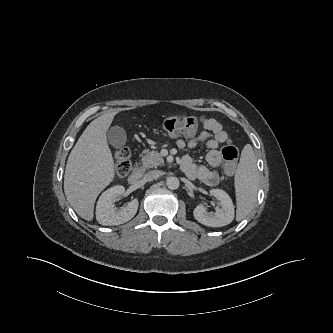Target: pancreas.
Returning a JSON list of instances; mask_svg holds the SVG:
<instances>
[{
    "instance_id": "obj_1",
    "label": "pancreas",
    "mask_w": 333,
    "mask_h": 333,
    "mask_svg": "<svg viewBox=\"0 0 333 333\" xmlns=\"http://www.w3.org/2000/svg\"><path fill=\"white\" fill-rule=\"evenodd\" d=\"M142 156V166L143 168H157L158 166H162L164 164V160L159 152L144 150Z\"/></svg>"
}]
</instances>
